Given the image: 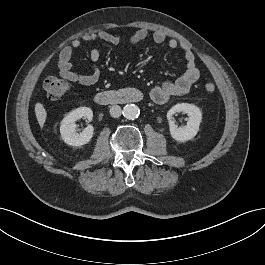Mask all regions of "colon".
<instances>
[{
  "label": "colon",
  "mask_w": 265,
  "mask_h": 265,
  "mask_svg": "<svg viewBox=\"0 0 265 265\" xmlns=\"http://www.w3.org/2000/svg\"><path fill=\"white\" fill-rule=\"evenodd\" d=\"M43 86L46 96L52 101L61 99L68 90V84L54 76L47 77ZM203 90L207 94H212L215 91L214 83L211 81L205 82L203 84Z\"/></svg>",
  "instance_id": "5ec220e1"
}]
</instances>
